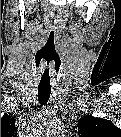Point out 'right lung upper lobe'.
<instances>
[{"label":"right lung upper lobe","instance_id":"right-lung-upper-lobe-1","mask_svg":"<svg viewBox=\"0 0 121 137\" xmlns=\"http://www.w3.org/2000/svg\"><path fill=\"white\" fill-rule=\"evenodd\" d=\"M15 131V119L11 116L1 118V135H11Z\"/></svg>","mask_w":121,"mask_h":137}]
</instances>
